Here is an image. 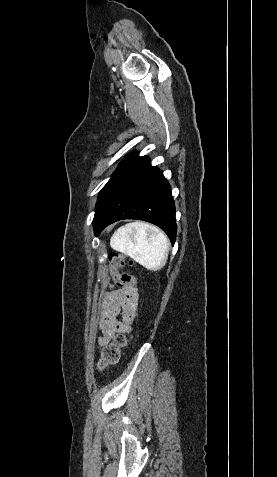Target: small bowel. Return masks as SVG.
Returning <instances> with one entry per match:
<instances>
[{
	"instance_id": "1",
	"label": "small bowel",
	"mask_w": 277,
	"mask_h": 477,
	"mask_svg": "<svg viewBox=\"0 0 277 477\" xmlns=\"http://www.w3.org/2000/svg\"><path fill=\"white\" fill-rule=\"evenodd\" d=\"M137 302L136 286H110L101 301L99 327L103 335L97 338L98 348L107 345L117 333H130ZM120 314L121 320L118 318Z\"/></svg>"
}]
</instances>
